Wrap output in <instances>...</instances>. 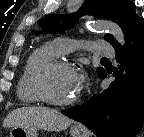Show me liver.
Segmentation results:
<instances>
[{
	"label": "liver",
	"instance_id": "1",
	"mask_svg": "<svg viewBox=\"0 0 144 137\" xmlns=\"http://www.w3.org/2000/svg\"><path fill=\"white\" fill-rule=\"evenodd\" d=\"M72 120L59 111L46 107H21L13 110L3 121L4 127H25L47 131L65 130Z\"/></svg>",
	"mask_w": 144,
	"mask_h": 137
}]
</instances>
